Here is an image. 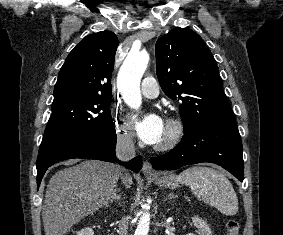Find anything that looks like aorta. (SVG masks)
Wrapping results in <instances>:
<instances>
[{"label": "aorta", "mask_w": 283, "mask_h": 235, "mask_svg": "<svg viewBox=\"0 0 283 235\" xmlns=\"http://www.w3.org/2000/svg\"><path fill=\"white\" fill-rule=\"evenodd\" d=\"M146 51H130L124 60L117 77V87L125 103L133 109H138L142 103L140 81L149 63ZM150 213L143 211L139 218L134 235H148Z\"/></svg>", "instance_id": "1"}]
</instances>
